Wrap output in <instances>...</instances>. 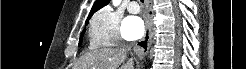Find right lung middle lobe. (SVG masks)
Masks as SVG:
<instances>
[{
    "mask_svg": "<svg viewBox=\"0 0 246 69\" xmlns=\"http://www.w3.org/2000/svg\"><path fill=\"white\" fill-rule=\"evenodd\" d=\"M88 23V20L86 21V24ZM85 30H83L81 36H80V40H79V46L82 44V38H83V34H84Z\"/></svg>",
    "mask_w": 246,
    "mask_h": 69,
    "instance_id": "1",
    "label": "right lung middle lobe"
}]
</instances>
